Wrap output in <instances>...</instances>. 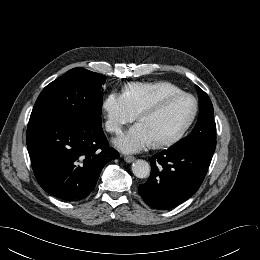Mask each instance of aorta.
<instances>
[{"label": "aorta", "instance_id": "762f6f07", "mask_svg": "<svg viewBox=\"0 0 260 260\" xmlns=\"http://www.w3.org/2000/svg\"><path fill=\"white\" fill-rule=\"evenodd\" d=\"M150 165L145 160H136L132 165V172L138 178H146L150 174Z\"/></svg>", "mask_w": 260, "mask_h": 260}]
</instances>
